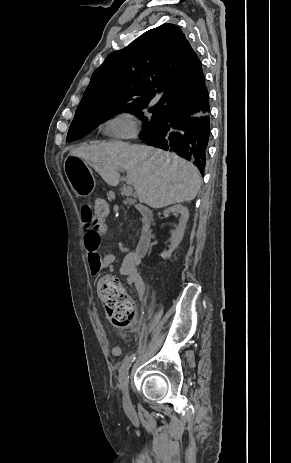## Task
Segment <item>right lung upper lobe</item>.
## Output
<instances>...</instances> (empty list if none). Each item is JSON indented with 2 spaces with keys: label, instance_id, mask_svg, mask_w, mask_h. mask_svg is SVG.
I'll return each mask as SVG.
<instances>
[{
  "label": "right lung upper lobe",
  "instance_id": "1",
  "mask_svg": "<svg viewBox=\"0 0 291 463\" xmlns=\"http://www.w3.org/2000/svg\"><path fill=\"white\" fill-rule=\"evenodd\" d=\"M203 80L201 62L185 34L163 24L110 53L92 74L77 110L119 101L147 106L158 93L163 96L153 109H189L207 94Z\"/></svg>",
  "mask_w": 291,
  "mask_h": 463
}]
</instances>
